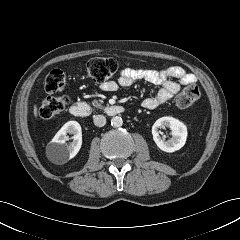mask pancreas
Here are the masks:
<instances>
[{"label": "pancreas", "mask_w": 240, "mask_h": 240, "mask_svg": "<svg viewBox=\"0 0 240 240\" xmlns=\"http://www.w3.org/2000/svg\"><path fill=\"white\" fill-rule=\"evenodd\" d=\"M103 103H104V101L101 100V99L92 101L93 106H95L97 108H102L103 107V105H102Z\"/></svg>", "instance_id": "1"}]
</instances>
